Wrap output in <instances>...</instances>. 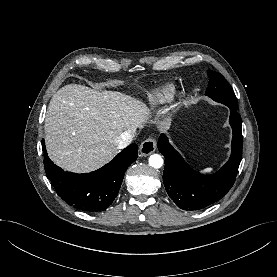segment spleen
<instances>
[{"label": "spleen", "mask_w": 277, "mask_h": 277, "mask_svg": "<svg viewBox=\"0 0 277 277\" xmlns=\"http://www.w3.org/2000/svg\"><path fill=\"white\" fill-rule=\"evenodd\" d=\"M201 173L208 174L213 172V168H205L200 171Z\"/></svg>", "instance_id": "3e777b00"}]
</instances>
